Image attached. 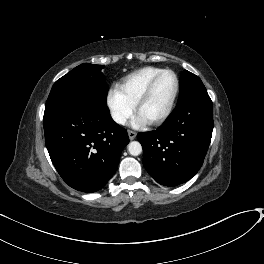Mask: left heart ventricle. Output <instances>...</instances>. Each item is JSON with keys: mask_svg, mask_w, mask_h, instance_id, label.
<instances>
[{"mask_svg": "<svg viewBox=\"0 0 264 264\" xmlns=\"http://www.w3.org/2000/svg\"><path fill=\"white\" fill-rule=\"evenodd\" d=\"M175 87V79L169 74H163L157 81L152 94L140 107V114L146 121L158 117L166 109Z\"/></svg>", "mask_w": 264, "mask_h": 264, "instance_id": "left-heart-ventricle-1", "label": "left heart ventricle"}]
</instances>
